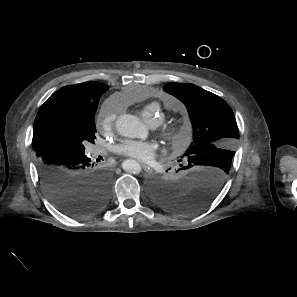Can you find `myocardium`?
<instances>
[{
  "instance_id": "1",
  "label": "myocardium",
  "mask_w": 297,
  "mask_h": 297,
  "mask_svg": "<svg viewBox=\"0 0 297 297\" xmlns=\"http://www.w3.org/2000/svg\"><path fill=\"white\" fill-rule=\"evenodd\" d=\"M157 131L159 136L168 144L172 145L176 149H182L187 141V133L180 124L160 123L157 125Z\"/></svg>"
}]
</instances>
